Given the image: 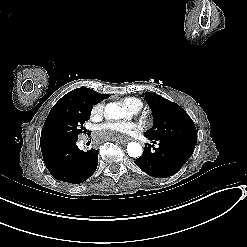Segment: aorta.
Listing matches in <instances>:
<instances>
[{
  "instance_id": "obj_1",
  "label": "aorta",
  "mask_w": 247,
  "mask_h": 247,
  "mask_svg": "<svg viewBox=\"0 0 247 247\" xmlns=\"http://www.w3.org/2000/svg\"><path fill=\"white\" fill-rule=\"evenodd\" d=\"M105 116L109 119H121L126 117V109L117 103H108L105 106ZM127 153L130 157L138 158L142 155V146L137 142H130L127 145Z\"/></svg>"
}]
</instances>
